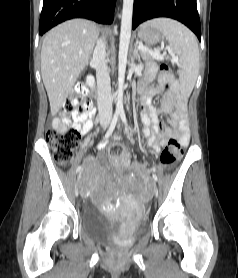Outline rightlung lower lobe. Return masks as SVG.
Returning <instances> with one entry per match:
<instances>
[{
  "mask_svg": "<svg viewBox=\"0 0 238 278\" xmlns=\"http://www.w3.org/2000/svg\"><path fill=\"white\" fill-rule=\"evenodd\" d=\"M116 0H43L39 33L43 35L55 25L72 18H86L111 24Z\"/></svg>",
  "mask_w": 238,
  "mask_h": 278,
  "instance_id": "right-lung-lower-lobe-1",
  "label": "right lung lower lobe"
}]
</instances>
